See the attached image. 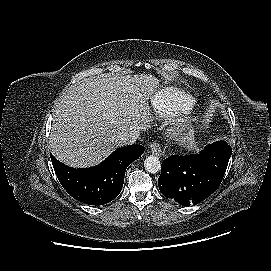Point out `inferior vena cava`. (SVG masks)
Listing matches in <instances>:
<instances>
[{"label": "inferior vena cava", "mask_w": 271, "mask_h": 271, "mask_svg": "<svg viewBox=\"0 0 271 271\" xmlns=\"http://www.w3.org/2000/svg\"><path fill=\"white\" fill-rule=\"evenodd\" d=\"M138 137H139V130L125 131V132L120 133L117 136L115 140V144L117 147L132 145L136 142Z\"/></svg>", "instance_id": "obj_1"}]
</instances>
